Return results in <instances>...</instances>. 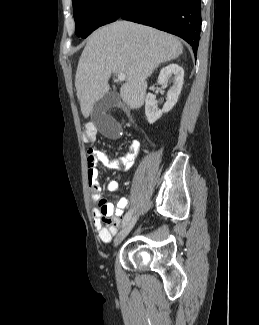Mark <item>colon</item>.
Wrapping results in <instances>:
<instances>
[{
	"label": "colon",
	"mask_w": 259,
	"mask_h": 325,
	"mask_svg": "<svg viewBox=\"0 0 259 325\" xmlns=\"http://www.w3.org/2000/svg\"><path fill=\"white\" fill-rule=\"evenodd\" d=\"M96 134V127L93 124H87L83 128L82 138L84 142H90L94 139Z\"/></svg>",
	"instance_id": "colon-1"
}]
</instances>
